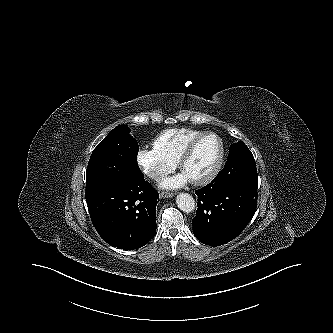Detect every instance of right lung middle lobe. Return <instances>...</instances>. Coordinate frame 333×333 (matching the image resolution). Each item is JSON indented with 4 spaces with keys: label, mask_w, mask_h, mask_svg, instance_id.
Returning a JSON list of instances; mask_svg holds the SVG:
<instances>
[{
    "label": "right lung middle lobe",
    "mask_w": 333,
    "mask_h": 333,
    "mask_svg": "<svg viewBox=\"0 0 333 333\" xmlns=\"http://www.w3.org/2000/svg\"><path fill=\"white\" fill-rule=\"evenodd\" d=\"M127 125L114 128L94 149L86 170L85 196L143 177L139 146Z\"/></svg>",
    "instance_id": "dd1d6c3e"
}]
</instances>
